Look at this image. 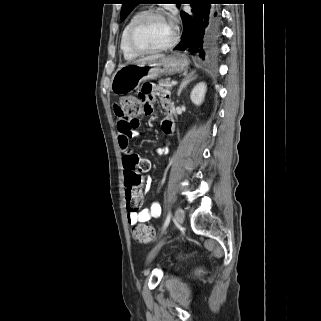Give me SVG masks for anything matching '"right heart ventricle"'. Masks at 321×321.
I'll return each instance as SVG.
<instances>
[{"label":"right heart ventricle","mask_w":321,"mask_h":321,"mask_svg":"<svg viewBox=\"0 0 321 321\" xmlns=\"http://www.w3.org/2000/svg\"><path fill=\"white\" fill-rule=\"evenodd\" d=\"M143 12L142 11H138L136 13H134L130 19L127 21L126 25L124 26L123 30H122V33H121V36H120V50H121V53L124 57L125 60H134L136 59L139 54L133 52L129 46H128V43H127V36H128V32H129V29L130 27L132 26V24L134 23V21L142 14Z\"/></svg>","instance_id":"1"}]
</instances>
